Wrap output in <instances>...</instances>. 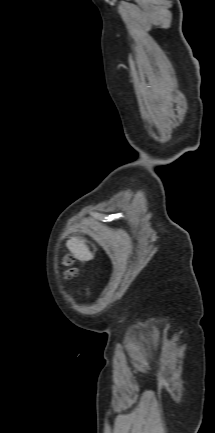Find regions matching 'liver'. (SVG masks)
<instances>
[{
    "label": "liver",
    "instance_id": "1",
    "mask_svg": "<svg viewBox=\"0 0 215 433\" xmlns=\"http://www.w3.org/2000/svg\"><path fill=\"white\" fill-rule=\"evenodd\" d=\"M67 248L73 256L82 262L92 260L94 255L90 252L89 247L85 244V240L79 237H71L66 242Z\"/></svg>",
    "mask_w": 215,
    "mask_h": 433
}]
</instances>
